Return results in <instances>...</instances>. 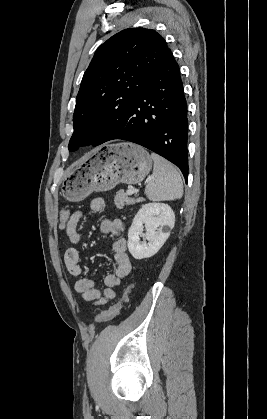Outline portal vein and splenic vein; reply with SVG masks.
<instances>
[{"mask_svg":"<svg viewBox=\"0 0 267 419\" xmlns=\"http://www.w3.org/2000/svg\"><path fill=\"white\" fill-rule=\"evenodd\" d=\"M137 192H138V190H131V189H129V190L126 191V194L127 195H133L134 193H137Z\"/></svg>","mask_w":267,"mask_h":419,"instance_id":"obj_1","label":"portal vein and splenic vein"}]
</instances>
